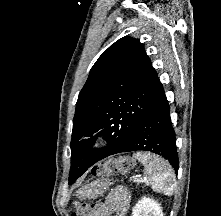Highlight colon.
Instances as JSON below:
<instances>
[{"mask_svg":"<svg viewBox=\"0 0 221 216\" xmlns=\"http://www.w3.org/2000/svg\"><path fill=\"white\" fill-rule=\"evenodd\" d=\"M134 165L132 159L128 157L113 158L105 161L102 165L98 166L95 172L97 174H108L112 171L127 172ZM75 211L72 216H88L89 205L84 202L74 203Z\"/></svg>","mask_w":221,"mask_h":216,"instance_id":"obj_1","label":"colon"}]
</instances>
